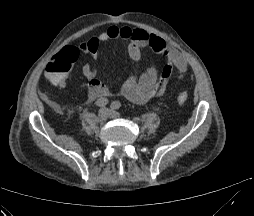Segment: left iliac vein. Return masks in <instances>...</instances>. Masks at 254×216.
<instances>
[{"label":"left iliac vein","instance_id":"obj_1","mask_svg":"<svg viewBox=\"0 0 254 216\" xmlns=\"http://www.w3.org/2000/svg\"><path fill=\"white\" fill-rule=\"evenodd\" d=\"M119 116V113L115 112V111H109V117L110 118H116Z\"/></svg>","mask_w":254,"mask_h":216}]
</instances>
